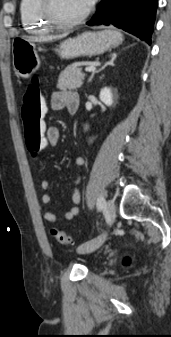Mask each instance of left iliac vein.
<instances>
[{
    "instance_id": "left-iliac-vein-1",
    "label": "left iliac vein",
    "mask_w": 171,
    "mask_h": 337,
    "mask_svg": "<svg viewBox=\"0 0 171 337\" xmlns=\"http://www.w3.org/2000/svg\"><path fill=\"white\" fill-rule=\"evenodd\" d=\"M116 207L113 200H108L106 203V214L110 223H113L115 220ZM106 239V235L103 234L98 236L90 241H87L79 246L78 252L81 254L91 253L98 249Z\"/></svg>"
}]
</instances>
